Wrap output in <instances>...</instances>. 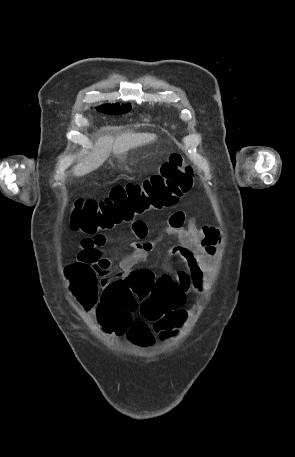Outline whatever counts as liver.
I'll use <instances>...</instances> for the list:
<instances>
[{"instance_id": "liver-1", "label": "liver", "mask_w": 295, "mask_h": 457, "mask_svg": "<svg viewBox=\"0 0 295 457\" xmlns=\"http://www.w3.org/2000/svg\"><path fill=\"white\" fill-rule=\"evenodd\" d=\"M156 139L157 136L151 133H124L116 138L102 136L95 142L92 151L73 167V175L80 177L98 169L111 152L120 156L131 149L152 143Z\"/></svg>"}]
</instances>
